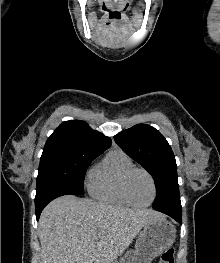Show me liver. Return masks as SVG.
<instances>
[{
  "mask_svg": "<svg viewBox=\"0 0 220 263\" xmlns=\"http://www.w3.org/2000/svg\"><path fill=\"white\" fill-rule=\"evenodd\" d=\"M161 217L151 209L61 196L39 219L41 263H116L141 229Z\"/></svg>",
  "mask_w": 220,
  "mask_h": 263,
  "instance_id": "obj_1",
  "label": "liver"
}]
</instances>
